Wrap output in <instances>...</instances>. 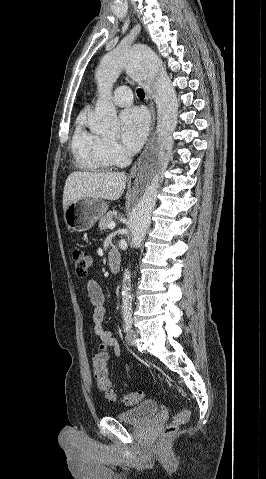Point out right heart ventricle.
I'll return each mask as SVG.
<instances>
[{"mask_svg": "<svg viewBox=\"0 0 266 479\" xmlns=\"http://www.w3.org/2000/svg\"><path fill=\"white\" fill-rule=\"evenodd\" d=\"M104 146L105 140L87 131L84 127V119L80 118L71 144L77 165L91 171H109L114 163L106 154Z\"/></svg>", "mask_w": 266, "mask_h": 479, "instance_id": "1", "label": "right heart ventricle"}]
</instances>
